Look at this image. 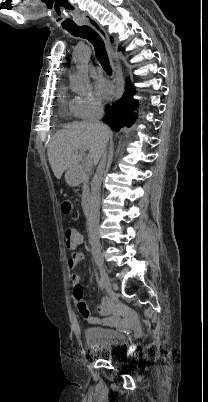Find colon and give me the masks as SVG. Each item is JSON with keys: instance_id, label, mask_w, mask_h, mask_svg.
<instances>
[{"instance_id": "obj_1", "label": "colon", "mask_w": 208, "mask_h": 402, "mask_svg": "<svg viewBox=\"0 0 208 402\" xmlns=\"http://www.w3.org/2000/svg\"><path fill=\"white\" fill-rule=\"evenodd\" d=\"M64 214H71L73 208L71 205H64L62 208ZM64 241L69 249H74L78 246L79 236L76 229L73 226H66L63 231ZM77 308L84 316L88 315L87 303L85 299L77 301Z\"/></svg>"}]
</instances>
